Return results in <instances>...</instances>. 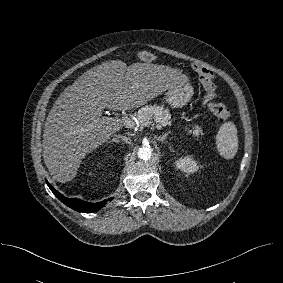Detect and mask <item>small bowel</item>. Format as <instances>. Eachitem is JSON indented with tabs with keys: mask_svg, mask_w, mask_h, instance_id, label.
Returning <instances> with one entry per match:
<instances>
[{
	"mask_svg": "<svg viewBox=\"0 0 283 283\" xmlns=\"http://www.w3.org/2000/svg\"><path fill=\"white\" fill-rule=\"evenodd\" d=\"M193 68L195 72L199 75L202 86L206 92L205 101H208L213 97H215L216 86L213 81L214 79L213 72L200 65H194Z\"/></svg>",
	"mask_w": 283,
	"mask_h": 283,
	"instance_id": "c3829d8e",
	"label": "small bowel"
}]
</instances>
